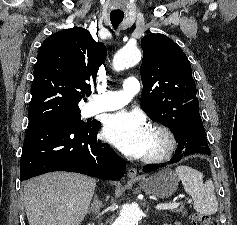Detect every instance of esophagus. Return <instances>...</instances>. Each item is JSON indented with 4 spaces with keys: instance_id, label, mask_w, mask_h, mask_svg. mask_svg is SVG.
<instances>
[{
    "instance_id": "1",
    "label": "esophagus",
    "mask_w": 237,
    "mask_h": 225,
    "mask_svg": "<svg viewBox=\"0 0 237 225\" xmlns=\"http://www.w3.org/2000/svg\"><path fill=\"white\" fill-rule=\"evenodd\" d=\"M128 177L130 178H137L138 175H137V169L132 167V168H129L128 170Z\"/></svg>"
}]
</instances>
